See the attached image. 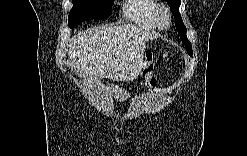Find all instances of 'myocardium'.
I'll return each mask as SVG.
<instances>
[{"instance_id":"myocardium-1","label":"myocardium","mask_w":247,"mask_h":156,"mask_svg":"<svg viewBox=\"0 0 247 156\" xmlns=\"http://www.w3.org/2000/svg\"><path fill=\"white\" fill-rule=\"evenodd\" d=\"M155 22L159 28H166L171 23V14L167 7L160 5L155 13Z\"/></svg>"}]
</instances>
